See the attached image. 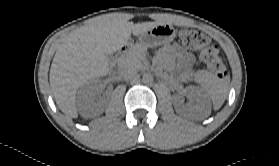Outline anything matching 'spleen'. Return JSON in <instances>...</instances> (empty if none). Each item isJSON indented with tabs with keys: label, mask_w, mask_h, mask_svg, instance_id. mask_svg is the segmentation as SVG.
Instances as JSON below:
<instances>
[{
	"label": "spleen",
	"mask_w": 279,
	"mask_h": 166,
	"mask_svg": "<svg viewBox=\"0 0 279 166\" xmlns=\"http://www.w3.org/2000/svg\"><path fill=\"white\" fill-rule=\"evenodd\" d=\"M195 81L202 87L206 96L211 100L213 108L219 109L227 98L230 77L218 79L206 70H200L195 74Z\"/></svg>",
	"instance_id": "1"
}]
</instances>
